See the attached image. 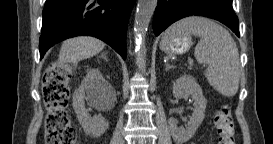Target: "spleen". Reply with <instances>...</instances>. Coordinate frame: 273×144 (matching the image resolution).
<instances>
[{
    "label": "spleen",
    "instance_id": "obj_1",
    "mask_svg": "<svg viewBox=\"0 0 273 144\" xmlns=\"http://www.w3.org/2000/svg\"><path fill=\"white\" fill-rule=\"evenodd\" d=\"M193 34L200 38L194 55L198 63L208 64L204 72L208 83L224 96L232 97L239 89L240 62L235 41L216 22L198 16L186 17L168 28L166 38Z\"/></svg>",
    "mask_w": 273,
    "mask_h": 144
}]
</instances>
